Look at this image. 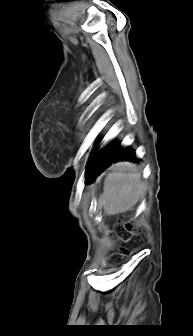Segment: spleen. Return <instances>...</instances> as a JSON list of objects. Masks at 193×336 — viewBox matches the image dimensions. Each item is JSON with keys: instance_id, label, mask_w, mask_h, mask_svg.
<instances>
[{"instance_id": "obj_1", "label": "spleen", "mask_w": 193, "mask_h": 336, "mask_svg": "<svg viewBox=\"0 0 193 336\" xmlns=\"http://www.w3.org/2000/svg\"><path fill=\"white\" fill-rule=\"evenodd\" d=\"M145 190V184L137 167L131 163H118L104 181L99 207L107 215H114L132 209Z\"/></svg>"}]
</instances>
